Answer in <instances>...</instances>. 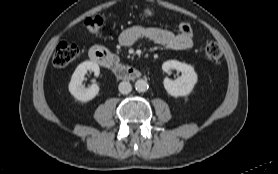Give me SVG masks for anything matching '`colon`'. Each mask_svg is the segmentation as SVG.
<instances>
[{
    "label": "colon",
    "instance_id": "1",
    "mask_svg": "<svg viewBox=\"0 0 278 174\" xmlns=\"http://www.w3.org/2000/svg\"><path fill=\"white\" fill-rule=\"evenodd\" d=\"M150 14V12L148 13ZM105 23L103 16L97 15L93 17H88L85 20V26L90 32L98 31ZM180 34L186 36H192V28L188 23H181L178 27ZM79 55V48L72 43L67 41H62L56 47L53 54V64L56 67H65L72 61H74ZM222 49L218 43L214 41H209L205 46V56L206 58L213 62L219 63L222 58Z\"/></svg>",
    "mask_w": 278,
    "mask_h": 174
}]
</instances>
